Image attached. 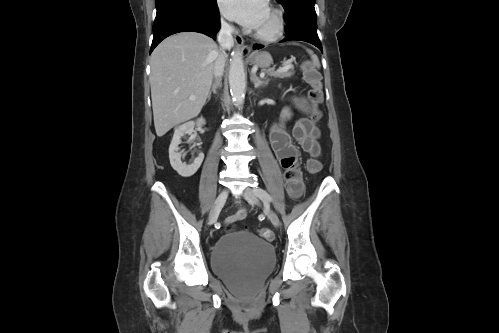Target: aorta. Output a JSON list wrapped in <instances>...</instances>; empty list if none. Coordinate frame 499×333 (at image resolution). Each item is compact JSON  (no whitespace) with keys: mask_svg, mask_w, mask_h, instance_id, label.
I'll return each mask as SVG.
<instances>
[{"mask_svg":"<svg viewBox=\"0 0 499 333\" xmlns=\"http://www.w3.org/2000/svg\"><path fill=\"white\" fill-rule=\"evenodd\" d=\"M229 85L235 103L238 105L242 104L245 97L246 81L243 57L238 50L233 51L230 60Z\"/></svg>","mask_w":499,"mask_h":333,"instance_id":"762f6f07","label":"aorta"}]
</instances>
